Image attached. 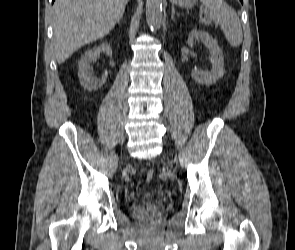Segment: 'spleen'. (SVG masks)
Instances as JSON below:
<instances>
[{"label": "spleen", "mask_w": 295, "mask_h": 250, "mask_svg": "<svg viewBox=\"0 0 295 250\" xmlns=\"http://www.w3.org/2000/svg\"><path fill=\"white\" fill-rule=\"evenodd\" d=\"M208 10L209 18H201L200 22L210 25L211 21L219 23L226 39L232 47H239L243 40L241 24L235 10L224 0H201Z\"/></svg>", "instance_id": "obj_1"}]
</instances>
